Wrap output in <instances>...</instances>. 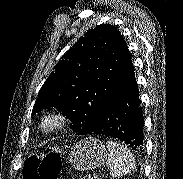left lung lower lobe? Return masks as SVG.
<instances>
[{"label": "left lung lower lobe", "mask_w": 183, "mask_h": 179, "mask_svg": "<svg viewBox=\"0 0 183 179\" xmlns=\"http://www.w3.org/2000/svg\"><path fill=\"white\" fill-rule=\"evenodd\" d=\"M133 64L128 52L123 58L112 100L89 134L125 142L140 151L143 143V112Z\"/></svg>", "instance_id": "left-lung-lower-lobe-1"}]
</instances>
